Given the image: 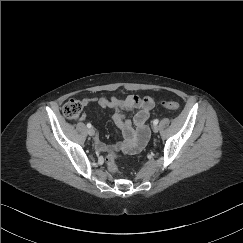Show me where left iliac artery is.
<instances>
[{
    "label": "left iliac artery",
    "instance_id": "1",
    "mask_svg": "<svg viewBox=\"0 0 243 243\" xmlns=\"http://www.w3.org/2000/svg\"><path fill=\"white\" fill-rule=\"evenodd\" d=\"M158 122H159V120H158V119H155V120L153 121V124H154V125H157Z\"/></svg>",
    "mask_w": 243,
    "mask_h": 243
}]
</instances>
